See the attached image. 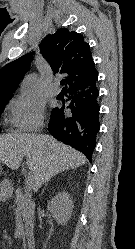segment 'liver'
Segmentation results:
<instances>
[{
	"label": "liver",
	"instance_id": "liver-1",
	"mask_svg": "<svg viewBox=\"0 0 135 249\" xmlns=\"http://www.w3.org/2000/svg\"><path fill=\"white\" fill-rule=\"evenodd\" d=\"M24 156H27L34 190L56 174L87 162L81 152L49 135L15 133L0 136V162L16 170Z\"/></svg>",
	"mask_w": 135,
	"mask_h": 249
}]
</instances>
